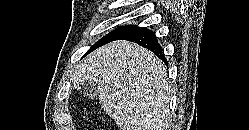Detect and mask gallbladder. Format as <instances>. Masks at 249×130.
Wrapping results in <instances>:
<instances>
[{
  "instance_id": "1",
  "label": "gallbladder",
  "mask_w": 249,
  "mask_h": 130,
  "mask_svg": "<svg viewBox=\"0 0 249 130\" xmlns=\"http://www.w3.org/2000/svg\"><path fill=\"white\" fill-rule=\"evenodd\" d=\"M81 94L88 99L93 100L98 96L97 86L93 82L85 83L81 88Z\"/></svg>"
}]
</instances>
